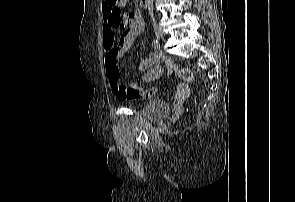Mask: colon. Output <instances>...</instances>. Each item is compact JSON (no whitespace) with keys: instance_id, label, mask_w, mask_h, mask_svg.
Wrapping results in <instances>:
<instances>
[{"instance_id":"5ec220e1","label":"colon","mask_w":295,"mask_h":202,"mask_svg":"<svg viewBox=\"0 0 295 202\" xmlns=\"http://www.w3.org/2000/svg\"><path fill=\"white\" fill-rule=\"evenodd\" d=\"M130 2V0H105L106 11L119 18V25L125 26L129 22V17L126 13L121 12L120 7ZM171 69L174 70L181 79L187 82L194 80L193 72L186 68L175 64H171Z\"/></svg>"}]
</instances>
